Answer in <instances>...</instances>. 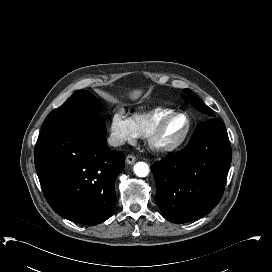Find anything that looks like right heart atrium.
Returning a JSON list of instances; mask_svg holds the SVG:
<instances>
[{
	"label": "right heart atrium",
	"mask_w": 272,
	"mask_h": 272,
	"mask_svg": "<svg viewBox=\"0 0 272 272\" xmlns=\"http://www.w3.org/2000/svg\"><path fill=\"white\" fill-rule=\"evenodd\" d=\"M111 140L116 145L132 141L138 135L133 118L128 117L122 110L116 111L109 126Z\"/></svg>",
	"instance_id": "obj_1"
}]
</instances>
